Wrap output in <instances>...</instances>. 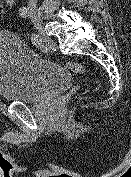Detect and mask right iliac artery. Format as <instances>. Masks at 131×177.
Returning a JSON list of instances; mask_svg holds the SVG:
<instances>
[{
	"instance_id": "82829eb1",
	"label": "right iliac artery",
	"mask_w": 131,
	"mask_h": 177,
	"mask_svg": "<svg viewBox=\"0 0 131 177\" xmlns=\"http://www.w3.org/2000/svg\"><path fill=\"white\" fill-rule=\"evenodd\" d=\"M19 14L22 18H27L28 9L26 7H21L19 9ZM31 41L35 46L40 47L44 52H47L49 50V47L42 43V39L39 37L37 33H32Z\"/></svg>"
}]
</instances>
